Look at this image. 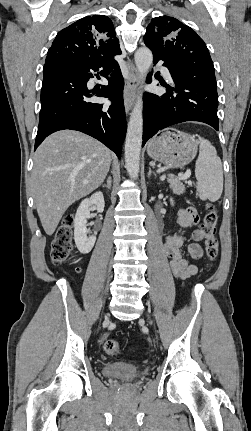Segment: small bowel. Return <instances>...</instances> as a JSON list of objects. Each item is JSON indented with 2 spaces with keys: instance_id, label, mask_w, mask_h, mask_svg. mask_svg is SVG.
I'll list each match as a JSON object with an SVG mask.
<instances>
[{
  "instance_id": "small-bowel-1",
  "label": "small bowel",
  "mask_w": 251,
  "mask_h": 431,
  "mask_svg": "<svg viewBox=\"0 0 251 431\" xmlns=\"http://www.w3.org/2000/svg\"><path fill=\"white\" fill-rule=\"evenodd\" d=\"M177 222L183 229H188L198 222V215L194 208L188 207L178 211ZM204 235L200 229L192 232L191 238L193 243L188 246V252L191 258L199 260L203 255V250L199 244ZM185 242L182 234H168L165 238L164 251L170 259V267L174 277L178 279H187L197 274L198 267L196 264H190L183 258L181 247Z\"/></svg>"
}]
</instances>
